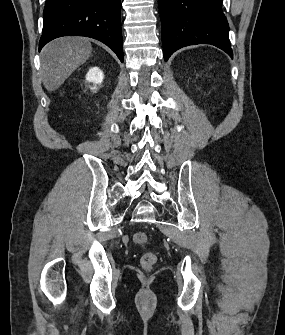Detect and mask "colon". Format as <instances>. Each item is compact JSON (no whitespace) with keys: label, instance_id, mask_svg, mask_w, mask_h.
Instances as JSON below:
<instances>
[{"label":"colon","instance_id":"obj_1","mask_svg":"<svg viewBox=\"0 0 285 335\" xmlns=\"http://www.w3.org/2000/svg\"><path fill=\"white\" fill-rule=\"evenodd\" d=\"M134 242L138 246H145L148 243V236L144 232H138L134 235ZM157 263V255L147 252L141 257V265L144 269L150 270Z\"/></svg>","mask_w":285,"mask_h":335}]
</instances>
